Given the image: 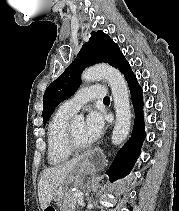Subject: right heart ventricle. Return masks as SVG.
Wrapping results in <instances>:
<instances>
[{
	"label": "right heart ventricle",
	"mask_w": 179,
	"mask_h": 211,
	"mask_svg": "<svg viewBox=\"0 0 179 211\" xmlns=\"http://www.w3.org/2000/svg\"><path fill=\"white\" fill-rule=\"evenodd\" d=\"M73 114L59 108L47 126V160L50 165L58 166L67 162L72 152L66 145V129Z\"/></svg>",
	"instance_id": "1"
}]
</instances>
